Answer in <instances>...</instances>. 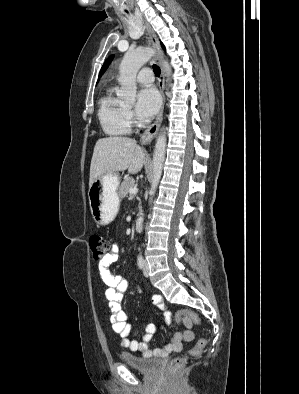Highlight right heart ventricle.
<instances>
[{"mask_svg":"<svg viewBox=\"0 0 299 394\" xmlns=\"http://www.w3.org/2000/svg\"><path fill=\"white\" fill-rule=\"evenodd\" d=\"M125 104L109 88L99 101L98 118L103 131L110 136L126 135L130 124L126 117Z\"/></svg>","mask_w":299,"mask_h":394,"instance_id":"1","label":"right heart ventricle"}]
</instances>
